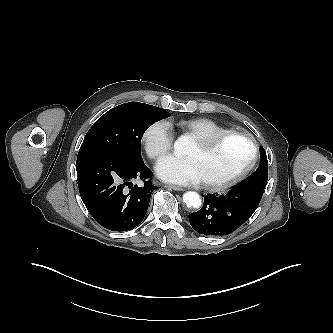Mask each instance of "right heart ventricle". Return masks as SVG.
<instances>
[{"label": "right heart ventricle", "mask_w": 333, "mask_h": 333, "mask_svg": "<svg viewBox=\"0 0 333 333\" xmlns=\"http://www.w3.org/2000/svg\"><path fill=\"white\" fill-rule=\"evenodd\" d=\"M177 126L194 140L210 138L229 131L225 126L209 118L184 119L178 121Z\"/></svg>", "instance_id": "right-heart-ventricle-1"}]
</instances>
